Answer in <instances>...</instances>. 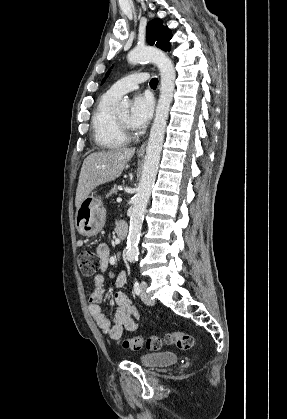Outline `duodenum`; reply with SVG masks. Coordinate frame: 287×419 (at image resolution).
I'll return each mask as SVG.
<instances>
[{"label": "duodenum", "mask_w": 287, "mask_h": 419, "mask_svg": "<svg viewBox=\"0 0 287 419\" xmlns=\"http://www.w3.org/2000/svg\"><path fill=\"white\" fill-rule=\"evenodd\" d=\"M128 233V227L126 226V224L121 223L120 225H118L117 229H116V234L118 239L122 240L127 236Z\"/></svg>", "instance_id": "duodenum-1"}]
</instances>
